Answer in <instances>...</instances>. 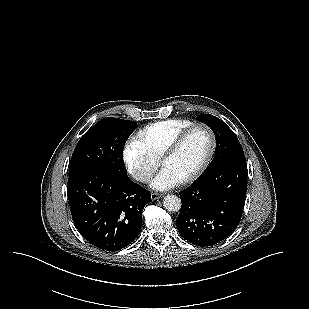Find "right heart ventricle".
I'll return each instance as SVG.
<instances>
[{
  "mask_svg": "<svg viewBox=\"0 0 309 309\" xmlns=\"http://www.w3.org/2000/svg\"><path fill=\"white\" fill-rule=\"evenodd\" d=\"M193 124L186 119H168L147 125L136 135L140 143L156 159H160L171 141L186 127Z\"/></svg>",
  "mask_w": 309,
  "mask_h": 309,
  "instance_id": "1",
  "label": "right heart ventricle"
}]
</instances>
